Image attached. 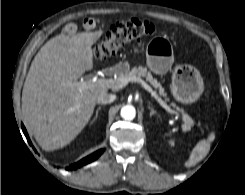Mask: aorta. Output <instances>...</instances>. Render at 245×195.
<instances>
[{"label": "aorta", "mask_w": 245, "mask_h": 195, "mask_svg": "<svg viewBox=\"0 0 245 195\" xmlns=\"http://www.w3.org/2000/svg\"><path fill=\"white\" fill-rule=\"evenodd\" d=\"M136 110L131 105H126L121 109V117L126 120H132L135 118Z\"/></svg>", "instance_id": "762f6f07"}]
</instances>
